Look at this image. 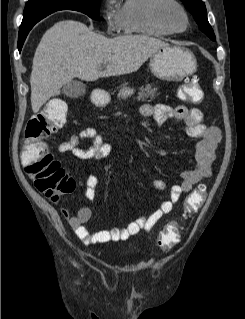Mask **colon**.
Here are the masks:
<instances>
[{
  "instance_id": "5ec220e1",
  "label": "colon",
  "mask_w": 245,
  "mask_h": 319,
  "mask_svg": "<svg viewBox=\"0 0 245 319\" xmlns=\"http://www.w3.org/2000/svg\"><path fill=\"white\" fill-rule=\"evenodd\" d=\"M197 81V77L187 80L182 86L181 96L187 102L201 104L204 101V92ZM67 114L66 103L59 100L50 102L43 112L28 120L22 143L24 170L34 178L36 188L53 200L72 192L75 186L73 179L66 174L45 143L48 137L66 124ZM205 198L206 187L201 184L187 196L185 215L200 208ZM178 238V224L171 223L155 236L154 241L160 248L168 249L176 244Z\"/></svg>"
}]
</instances>
